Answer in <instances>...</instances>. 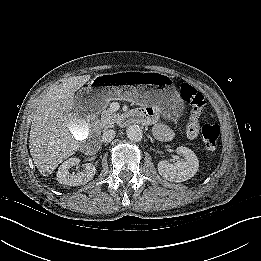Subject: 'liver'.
I'll list each match as a JSON object with an SVG mask.
<instances>
[{"mask_svg": "<svg viewBox=\"0 0 261 261\" xmlns=\"http://www.w3.org/2000/svg\"><path fill=\"white\" fill-rule=\"evenodd\" d=\"M91 75L73 76L51 87L39 101L32 120L29 148L34 164L43 176L50 175L79 147L69 129L74 95Z\"/></svg>", "mask_w": 261, "mask_h": 261, "instance_id": "6515ba94", "label": "liver"}]
</instances>
